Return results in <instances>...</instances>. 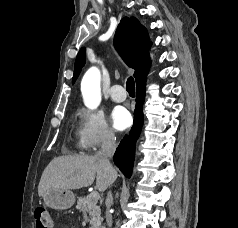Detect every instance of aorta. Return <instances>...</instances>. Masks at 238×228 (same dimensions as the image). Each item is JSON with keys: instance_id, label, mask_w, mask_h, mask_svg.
Masks as SVG:
<instances>
[{"instance_id": "obj_1", "label": "aorta", "mask_w": 238, "mask_h": 228, "mask_svg": "<svg viewBox=\"0 0 238 228\" xmlns=\"http://www.w3.org/2000/svg\"><path fill=\"white\" fill-rule=\"evenodd\" d=\"M100 71L91 67L81 81V92L84 104L90 109H96L101 102Z\"/></svg>"}]
</instances>
